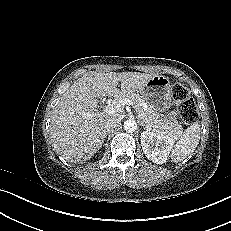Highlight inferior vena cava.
Masks as SVG:
<instances>
[{
	"mask_svg": "<svg viewBox=\"0 0 231 231\" xmlns=\"http://www.w3.org/2000/svg\"><path fill=\"white\" fill-rule=\"evenodd\" d=\"M120 122L119 117H109L105 121V128L107 131H110L111 129L115 128L118 123Z\"/></svg>",
	"mask_w": 231,
	"mask_h": 231,
	"instance_id": "1",
	"label": "inferior vena cava"
}]
</instances>
